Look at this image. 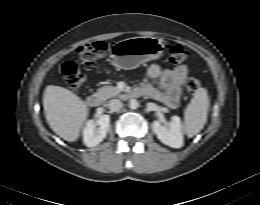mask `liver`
Instances as JSON below:
<instances>
[{
  "label": "liver",
  "mask_w": 260,
  "mask_h": 205,
  "mask_svg": "<svg viewBox=\"0 0 260 205\" xmlns=\"http://www.w3.org/2000/svg\"><path fill=\"white\" fill-rule=\"evenodd\" d=\"M43 107L50 128L66 141L74 142L87 120L86 103L70 90L48 85L43 95Z\"/></svg>",
  "instance_id": "6515ba94"
}]
</instances>
